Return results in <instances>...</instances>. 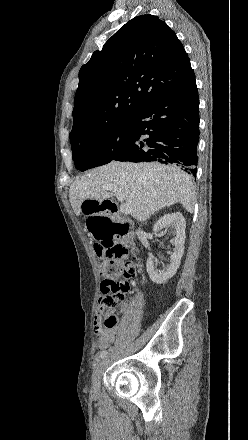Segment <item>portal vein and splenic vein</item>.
Masks as SVG:
<instances>
[{
    "label": "portal vein and splenic vein",
    "mask_w": 248,
    "mask_h": 440,
    "mask_svg": "<svg viewBox=\"0 0 248 440\" xmlns=\"http://www.w3.org/2000/svg\"><path fill=\"white\" fill-rule=\"evenodd\" d=\"M106 189L112 191L113 193H115L116 198L118 199V201L122 202L124 200L123 195L119 192L117 187L109 186V187H106ZM120 212H122L124 214H130L132 212V209L129 207L128 204H121Z\"/></svg>",
    "instance_id": "18ae733b"
}]
</instances>
